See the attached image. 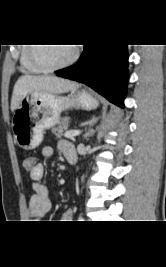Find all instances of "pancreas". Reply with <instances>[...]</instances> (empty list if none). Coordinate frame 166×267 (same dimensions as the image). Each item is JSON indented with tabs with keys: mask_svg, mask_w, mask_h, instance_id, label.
Segmentation results:
<instances>
[{
	"mask_svg": "<svg viewBox=\"0 0 166 267\" xmlns=\"http://www.w3.org/2000/svg\"><path fill=\"white\" fill-rule=\"evenodd\" d=\"M69 126V120L67 118H64L58 125V127L52 129V133L57 137L61 138L62 133L64 130H67Z\"/></svg>",
	"mask_w": 166,
	"mask_h": 267,
	"instance_id": "cf45deb5",
	"label": "pancreas"
}]
</instances>
